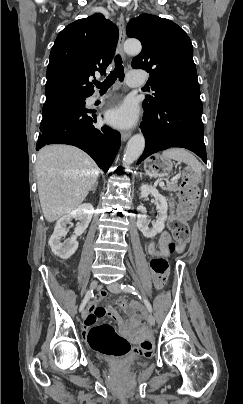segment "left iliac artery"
I'll list each match as a JSON object with an SVG mask.
<instances>
[{
	"instance_id": "obj_1",
	"label": "left iliac artery",
	"mask_w": 243,
	"mask_h": 404,
	"mask_svg": "<svg viewBox=\"0 0 243 404\" xmlns=\"http://www.w3.org/2000/svg\"><path fill=\"white\" fill-rule=\"evenodd\" d=\"M120 288L124 292H129V293H132L134 295H138V297L143 300V302H144L145 306L147 307L148 311L152 312V306H151L150 302L146 298H144V297L142 298L139 295V292L136 290L135 287H133L131 285H121Z\"/></svg>"
}]
</instances>
